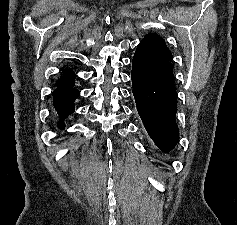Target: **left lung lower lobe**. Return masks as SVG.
I'll return each mask as SVG.
<instances>
[{
    "instance_id": "0a47b994",
    "label": "left lung lower lobe",
    "mask_w": 237,
    "mask_h": 225,
    "mask_svg": "<svg viewBox=\"0 0 237 225\" xmlns=\"http://www.w3.org/2000/svg\"><path fill=\"white\" fill-rule=\"evenodd\" d=\"M132 84L137 110L147 133L163 152H169L179 140L175 85H150L135 74H132Z\"/></svg>"
}]
</instances>
